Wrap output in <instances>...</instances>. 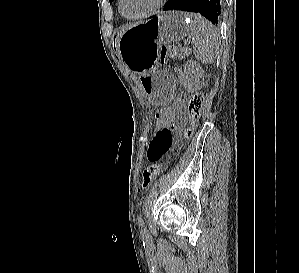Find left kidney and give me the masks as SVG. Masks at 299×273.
<instances>
[{
	"mask_svg": "<svg viewBox=\"0 0 299 273\" xmlns=\"http://www.w3.org/2000/svg\"><path fill=\"white\" fill-rule=\"evenodd\" d=\"M204 71L195 61H189L183 69L179 71V80L188 91H196L202 88Z\"/></svg>",
	"mask_w": 299,
	"mask_h": 273,
	"instance_id": "left-kidney-1",
	"label": "left kidney"
}]
</instances>
